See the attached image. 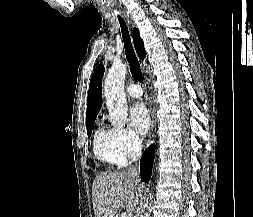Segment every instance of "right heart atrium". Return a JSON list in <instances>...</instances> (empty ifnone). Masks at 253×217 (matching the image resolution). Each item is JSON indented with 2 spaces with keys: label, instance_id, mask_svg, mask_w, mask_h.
I'll list each match as a JSON object with an SVG mask.
<instances>
[{
  "label": "right heart atrium",
  "instance_id": "1",
  "mask_svg": "<svg viewBox=\"0 0 253 217\" xmlns=\"http://www.w3.org/2000/svg\"><path fill=\"white\" fill-rule=\"evenodd\" d=\"M114 139L128 158H134L140 151L141 140L130 129L115 127L112 128Z\"/></svg>",
  "mask_w": 253,
  "mask_h": 217
}]
</instances>
